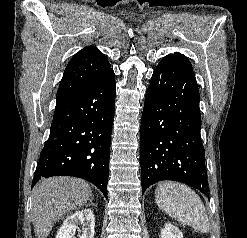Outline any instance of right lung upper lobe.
<instances>
[{
	"mask_svg": "<svg viewBox=\"0 0 247 238\" xmlns=\"http://www.w3.org/2000/svg\"><path fill=\"white\" fill-rule=\"evenodd\" d=\"M105 55L95 46L83 48L69 61L56 96V106L73 98L110 69Z\"/></svg>",
	"mask_w": 247,
	"mask_h": 238,
	"instance_id": "cb5924a9",
	"label": "right lung upper lobe"
}]
</instances>
